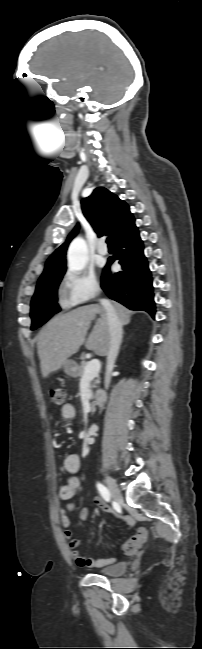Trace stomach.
<instances>
[{"label":"stomach","mask_w":202,"mask_h":649,"mask_svg":"<svg viewBox=\"0 0 202 649\" xmlns=\"http://www.w3.org/2000/svg\"><path fill=\"white\" fill-rule=\"evenodd\" d=\"M64 371L69 376L75 377L77 373V365L73 360H67L64 364Z\"/></svg>","instance_id":"stomach-1"}]
</instances>
